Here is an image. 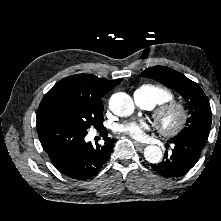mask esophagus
<instances>
[{"mask_svg": "<svg viewBox=\"0 0 221 221\" xmlns=\"http://www.w3.org/2000/svg\"><path fill=\"white\" fill-rule=\"evenodd\" d=\"M134 143L138 149H143L146 147V144H144V143H140V142H136V141Z\"/></svg>", "mask_w": 221, "mask_h": 221, "instance_id": "esophagus-1", "label": "esophagus"}]
</instances>
